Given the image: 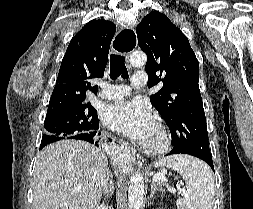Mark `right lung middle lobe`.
I'll return each instance as SVG.
<instances>
[{"label": "right lung middle lobe", "mask_w": 253, "mask_h": 209, "mask_svg": "<svg viewBox=\"0 0 253 209\" xmlns=\"http://www.w3.org/2000/svg\"><path fill=\"white\" fill-rule=\"evenodd\" d=\"M98 122L93 106L61 108L46 115L45 134L40 148L62 139H73V136L93 131Z\"/></svg>", "instance_id": "right-lung-middle-lobe-1"}]
</instances>
